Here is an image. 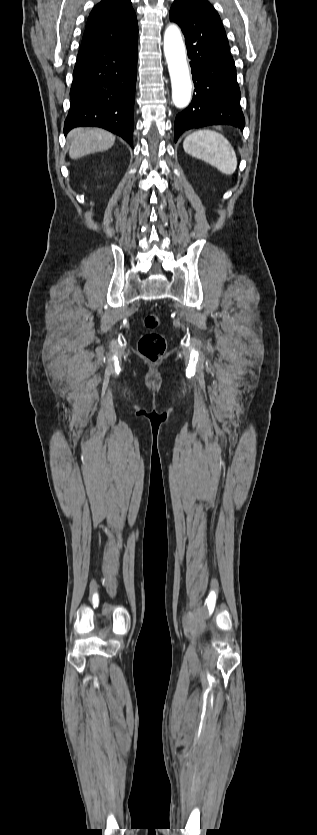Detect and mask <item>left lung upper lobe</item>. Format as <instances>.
<instances>
[{"mask_svg": "<svg viewBox=\"0 0 317 835\" xmlns=\"http://www.w3.org/2000/svg\"><path fill=\"white\" fill-rule=\"evenodd\" d=\"M182 4L192 7L194 9L209 10L216 12L213 6L207 0H174V3L170 9V15H174L181 21H184L185 16L181 14L177 7Z\"/></svg>", "mask_w": 317, "mask_h": 835, "instance_id": "5c2ea615", "label": "left lung upper lobe"}]
</instances>
